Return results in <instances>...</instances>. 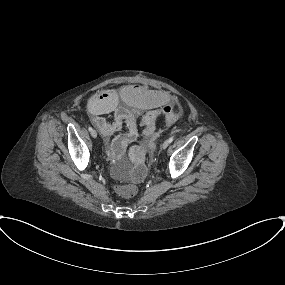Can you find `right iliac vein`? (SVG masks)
I'll return each instance as SVG.
<instances>
[{
  "mask_svg": "<svg viewBox=\"0 0 285 285\" xmlns=\"http://www.w3.org/2000/svg\"><path fill=\"white\" fill-rule=\"evenodd\" d=\"M91 136H92L93 138H96V137H97V132H96L95 130H92V131H91Z\"/></svg>",
  "mask_w": 285,
  "mask_h": 285,
  "instance_id": "right-iliac-vein-1",
  "label": "right iliac vein"
}]
</instances>
